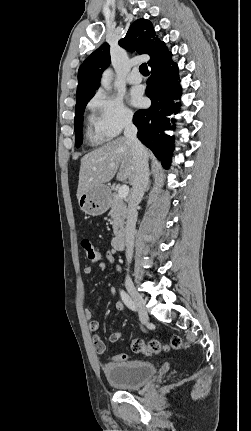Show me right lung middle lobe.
<instances>
[{
  "instance_id": "dd1d6c3e",
  "label": "right lung middle lobe",
  "mask_w": 251,
  "mask_h": 431,
  "mask_svg": "<svg viewBox=\"0 0 251 431\" xmlns=\"http://www.w3.org/2000/svg\"><path fill=\"white\" fill-rule=\"evenodd\" d=\"M93 96L94 94H91L76 100L74 127L77 147L82 144L83 113L87 103Z\"/></svg>"
}]
</instances>
